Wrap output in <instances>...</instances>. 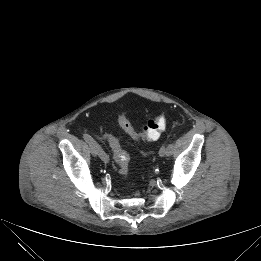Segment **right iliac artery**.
Returning <instances> with one entry per match:
<instances>
[{"label": "right iliac artery", "instance_id": "right-iliac-artery-1", "mask_svg": "<svg viewBox=\"0 0 261 261\" xmlns=\"http://www.w3.org/2000/svg\"><path fill=\"white\" fill-rule=\"evenodd\" d=\"M83 138H84V140H85L88 144L92 145V146L96 149V151H97L99 157H100L105 163H109V162H110V157H109V155L100 147V145L97 144V142H96L90 135H88V134L85 133V134H83Z\"/></svg>", "mask_w": 261, "mask_h": 261}]
</instances>
